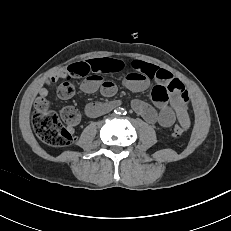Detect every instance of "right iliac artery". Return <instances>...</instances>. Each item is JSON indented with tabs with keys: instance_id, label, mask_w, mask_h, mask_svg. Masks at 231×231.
<instances>
[{
	"instance_id": "82829eb1",
	"label": "right iliac artery",
	"mask_w": 231,
	"mask_h": 231,
	"mask_svg": "<svg viewBox=\"0 0 231 231\" xmlns=\"http://www.w3.org/2000/svg\"><path fill=\"white\" fill-rule=\"evenodd\" d=\"M115 112H116V113H120V112H119V109L115 110Z\"/></svg>"
}]
</instances>
